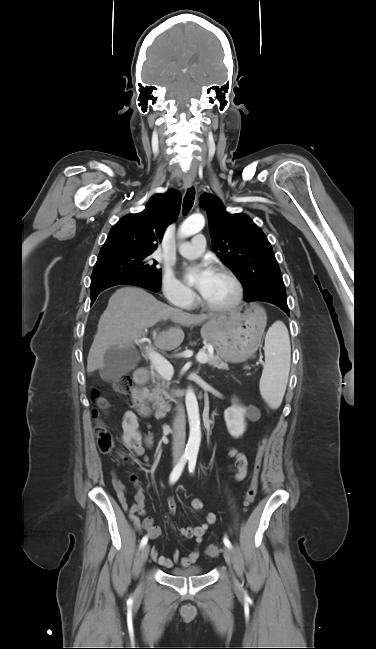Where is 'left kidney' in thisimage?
Here are the masks:
<instances>
[{"label": "left kidney", "mask_w": 376, "mask_h": 649, "mask_svg": "<svg viewBox=\"0 0 376 649\" xmlns=\"http://www.w3.org/2000/svg\"><path fill=\"white\" fill-rule=\"evenodd\" d=\"M246 409L242 406L237 405L236 400H232V406L227 408L224 411V419L228 432L233 437L241 436L246 428L244 415Z\"/></svg>", "instance_id": "1"}]
</instances>
